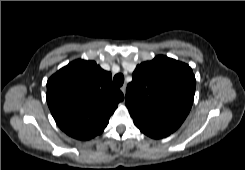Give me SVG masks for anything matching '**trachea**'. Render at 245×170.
<instances>
[{"mask_svg": "<svg viewBox=\"0 0 245 170\" xmlns=\"http://www.w3.org/2000/svg\"><path fill=\"white\" fill-rule=\"evenodd\" d=\"M116 86L121 87L124 83V76L122 74H116L113 79Z\"/></svg>", "mask_w": 245, "mask_h": 170, "instance_id": "3493384b", "label": "trachea"}]
</instances>
